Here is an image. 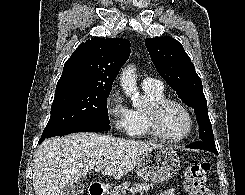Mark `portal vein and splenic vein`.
I'll list each match as a JSON object with an SVG mask.
<instances>
[{
  "label": "portal vein and splenic vein",
  "mask_w": 245,
  "mask_h": 195,
  "mask_svg": "<svg viewBox=\"0 0 245 195\" xmlns=\"http://www.w3.org/2000/svg\"><path fill=\"white\" fill-rule=\"evenodd\" d=\"M104 166L103 165H99L95 168V172H99ZM137 190V189H136Z\"/></svg>",
  "instance_id": "obj_1"
}]
</instances>
